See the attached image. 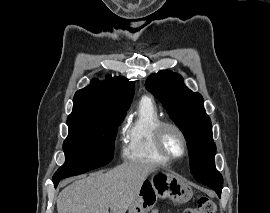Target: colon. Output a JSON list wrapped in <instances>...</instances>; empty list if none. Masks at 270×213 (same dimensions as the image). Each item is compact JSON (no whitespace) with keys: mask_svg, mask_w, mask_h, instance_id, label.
Masks as SVG:
<instances>
[{"mask_svg":"<svg viewBox=\"0 0 270 213\" xmlns=\"http://www.w3.org/2000/svg\"><path fill=\"white\" fill-rule=\"evenodd\" d=\"M216 205L208 197L202 196L194 207L186 208L182 213H215Z\"/></svg>","mask_w":270,"mask_h":213,"instance_id":"5ec220e1","label":"colon"}]
</instances>
